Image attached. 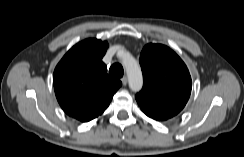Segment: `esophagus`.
<instances>
[{"instance_id": "obj_1", "label": "esophagus", "mask_w": 244, "mask_h": 157, "mask_svg": "<svg viewBox=\"0 0 244 157\" xmlns=\"http://www.w3.org/2000/svg\"><path fill=\"white\" fill-rule=\"evenodd\" d=\"M121 81H122L123 86H126V85H127V82H128V79H127L126 76H124V77L121 79Z\"/></svg>"}]
</instances>
